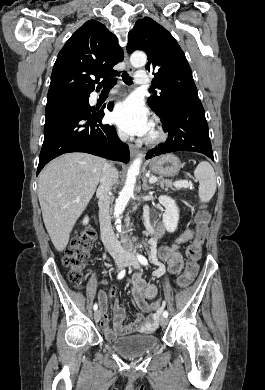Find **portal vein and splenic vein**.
<instances>
[{"mask_svg": "<svg viewBox=\"0 0 265 390\" xmlns=\"http://www.w3.org/2000/svg\"><path fill=\"white\" fill-rule=\"evenodd\" d=\"M156 181H157V177H155V176H152L149 178V183H155ZM175 183H176V185L183 186L185 188H188L190 186V183L186 180H180V181H177Z\"/></svg>", "mask_w": 265, "mask_h": 390, "instance_id": "obj_1", "label": "portal vein and splenic vein"}]
</instances>
